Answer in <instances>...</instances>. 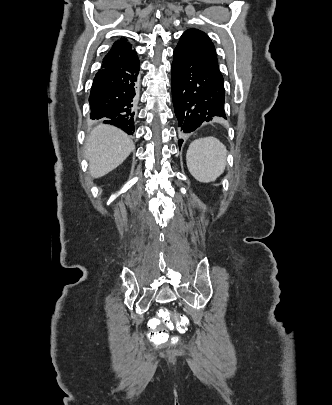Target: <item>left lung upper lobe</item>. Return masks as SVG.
I'll list each match as a JSON object with an SVG mask.
<instances>
[{
	"instance_id": "5c2ea615",
	"label": "left lung upper lobe",
	"mask_w": 332,
	"mask_h": 405,
	"mask_svg": "<svg viewBox=\"0 0 332 405\" xmlns=\"http://www.w3.org/2000/svg\"><path fill=\"white\" fill-rule=\"evenodd\" d=\"M178 45L183 46L219 70L215 47L204 32L198 29H189L182 34Z\"/></svg>"
}]
</instances>
